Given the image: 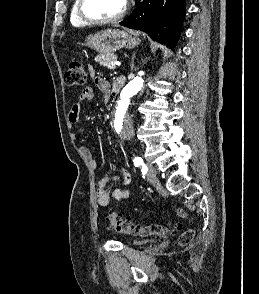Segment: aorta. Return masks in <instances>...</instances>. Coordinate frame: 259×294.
Segmentation results:
<instances>
[{
    "instance_id": "aorta-1",
    "label": "aorta",
    "mask_w": 259,
    "mask_h": 294,
    "mask_svg": "<svg viewBox=\"0 0 259 294\" xmlns=\"http://www.w3.org/2000/svg\"><path fill=\"white\" fill-rule=\"evenodd\" d=\"M143 86V79L136 77L121 91L112 115L113 134L115 138L129 139L133 137V121L127 113L130 98L136 95Z\"/></svg>"
}]
</instances>
